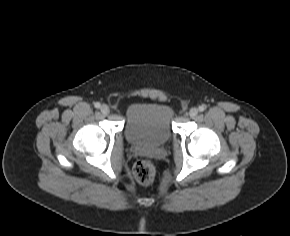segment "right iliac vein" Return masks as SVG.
<instances>
[{
	"label": "right iliac vein",
	"instance_id": "63e3f726",
	"mask_svg": "<svg viewBox=\"0 0 290 236\" xmlns=\"http://www.w3.org/2000/svg\"><path fill=\"white\" fill-rule=\"evenodd\" d=\"M100 111H101L102 114L107 115V114H109L110 109H109V107L107 105L103 104L100 107Z\"/></svg>",
	"mask_w": 290,
	"mask_h": 236
}]
</instances>
